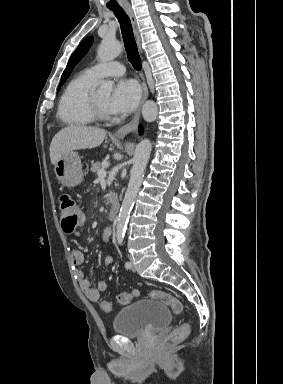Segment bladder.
Instances as JSON below:
<instances>
[{
    "label": "bladder",
    "mask_w": 283,
    "mask_h": 384,
    "mask_svg": "<svg viewBox=\"0 0 283 384\" xmlns=\"http://www.w3.org/2000/svg\"><path fill=\"white\" fill-rule=\"evenodd\" d=\"M170 320L167 306L160 301L136 299L128 306L119 308L112 324L116 335L127 338L144 337L164 328Z\"/></svg>",
    "instance_id": "1"
}]
</instances>
